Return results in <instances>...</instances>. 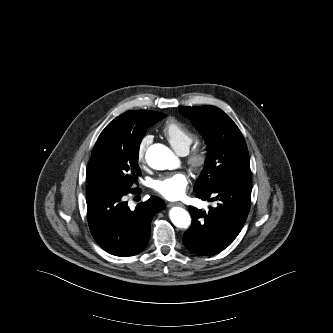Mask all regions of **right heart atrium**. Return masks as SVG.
<instances>
[{"label": "right heart atrium", "instance_id": "d8ad5b80", "mask_svg": "<svg viewBox=\"0 0 333 333\" xmlns=\"http://www.w3.org/2000/svg\"><path fill=\"white\" fill-rule=\"evenodd\" d=\"M151 142H152V136L148 135V134L144 135L139 140L138 145H137V159H138L139 163L145 162L146 151Z\"/></svg>", "mask_w": 333, "mask_h": 333}]
</instances>
